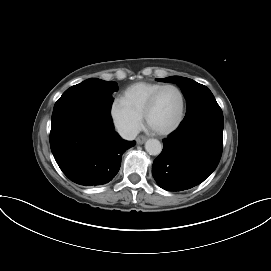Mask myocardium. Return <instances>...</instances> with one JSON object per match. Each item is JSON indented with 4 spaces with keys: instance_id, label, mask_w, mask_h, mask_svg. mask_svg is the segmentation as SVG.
Returning <instances> with one entry per match:
<instances>
[{
    "instance_id": "obj_1",
    "label": "myocardium",
    "mask_w": 271,
    "mask_h": 271,
    "mask_svg": "<svg viewBox=\"0 0 271 271\" xmlns=\"http://www.w3.org/2000/svg\"><path fill=\"white\" fill-rule=\"evenodd\" d=\"M174 89L178 92L179 96H180V101H181V105H180V112H179V116L177 118V120L168 128L164 129V130H155V132L159 135H168L172 132H174L182 123L184 117H185V112H186V100H185V96L183 91L176 85L173 84H166L163 85L162 87H160L159 89H157L148 99L144 110H143V118L145 120V122L149 125V115L152 111V109L154 108L158 97L160 96V94L166 90V89Z\"/></svg>"
}]
</instances>
